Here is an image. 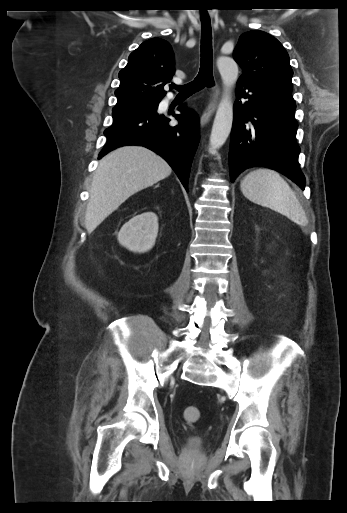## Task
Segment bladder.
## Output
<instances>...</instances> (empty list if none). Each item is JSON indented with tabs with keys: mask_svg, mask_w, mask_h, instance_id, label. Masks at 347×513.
Listing matches in <instances>:
<instances>
[{
	"mask_svg": "<svg viewBox=\"0 0 347 513\" xmlns=\"http://www.w3.org/2000/svg\"><path fill=\"white\" fill-rule=\"evenodd\" d=\"M204 446V439L200 436H191L188 438L186 447L190 451H200Z\"/></svg>",
	"mask_w": 347,
	"mask_h": 513,
	"instance_id": "bladder-1",
	"label": "bladder"
}]
</instances>
